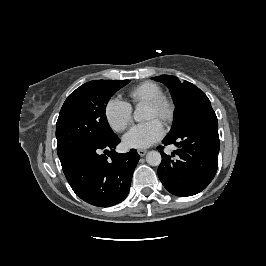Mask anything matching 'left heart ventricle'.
<instances>
[{
	"label": "left heart ventricle",
	"mask_w": 266,
	"mask_h": 266,
	"mask_svg": "<svg viewBox=\"0 0 266 266\" xmlns=\"http://www.w3.org/2000/svg\"><path fill=\"white\" fill-rule=\"evenodd\" d=\"M159 115L158 109L147 105L145 119H160Z\"/></svg>",
	"instance_id": "obj_1"
}]
</instances>
